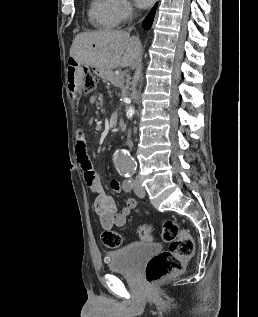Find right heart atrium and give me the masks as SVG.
Instances as JSON below:
<instances>
[{
	"label": "right heart atrium",
	"instance_id": "1",
	"mask_svg": "<svg viewBox=\"0 0 258 317\" xmlns=\"http://www.w3.org/2000/svg\"><path fill=\"white\" fill-rule=\"evenodd\" d=\"M116 17L117 25L124 24L133 15V6L129 0H116Z\"/></svg>",
	"mask_w": 258,
	"mask_h": 317
}]
</instances>
